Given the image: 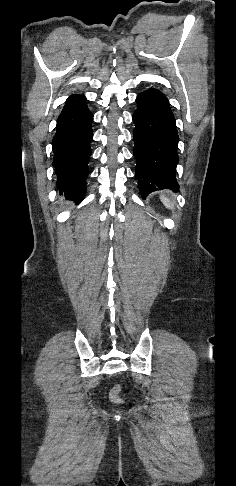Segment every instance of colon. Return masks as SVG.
<instances>
[{
	"label": "colon",
	"instance_id": "5ec220e1",
	"mask_svg": "<svg viewBox=\"0 0 236 486\" xmlns=\"http://www.w3.org/2000/svg\"><path fill=\"white\" fill-rule=\"evenodd\" d=\"M110 400L113 403H116V404L123 403L124 400L121 397V386L120 385H116L112 388V390L110 392Z\"/></svg>",
	"mask_w": 236,
	"mask_h": 486
}]
</instances>
